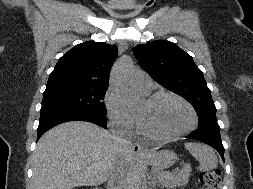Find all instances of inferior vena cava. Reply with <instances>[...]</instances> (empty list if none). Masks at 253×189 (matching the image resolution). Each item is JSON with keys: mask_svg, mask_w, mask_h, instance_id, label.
<instances>
[{"mask_svg": "<svg viewBox=\"0 0 253 189\" xmlns=\"http://www.w3.org/2000/svg\"><path fill=\"white\" fill-rule=\"evenodd\" d=\"M112 136L120 151L114 156L118 161L113 163L107 174V189H122L126 177L127 165L119 160H121L126 153L132 152V142L122 130H112Z\"/></svg>", "mask_w": 253, "mask_h": 189, "instance_id": "1", "label": "inferior vena cava"}]
</instances>
